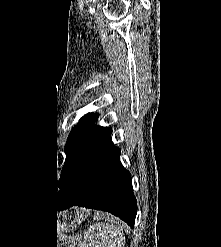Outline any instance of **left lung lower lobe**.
Returning <instances> with one entry per match:
<instances>
[{"mask_svg": "<svg viewBox=\"0 0 221 247\" xmlns=\"http://www.w3.org/2000/svg\"><path fill=\"white\" fill-rule=\"evenodd\" d=\"M103 131L89 148L70 184L56 194L61 209L78 205L108 211L134 227L137 213L131 174L120 162L121 151Z\"/></svg>", "mask_w": 221, "mask_h": 247, "instance_id": "left-lung-lower-lobe-1", "label": "left lung lower lobe"}]
</instances>
